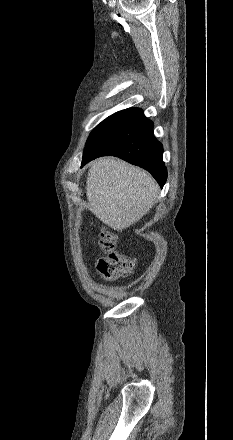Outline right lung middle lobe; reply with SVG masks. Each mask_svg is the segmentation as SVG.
<instances>
[{
	"label": "right lung middle lobe",
	"instance_id": "1",
	"mask_svg": "<svg viewBox=\"0 0 233 440\" xmlns=\"http://www.w3.org/2000/svg\"><path fill=\"white\" fill-rule=\"evenodd\" d=\"M115 114H116V113H115ZM113 115H114V114H113ZM113 115H112V116H113ZM112 116H110V117H108L107 119H105V120H104L103 122H101L97 127H99L101 124H103L106 120H108V119L111 118ZM97 127H96V128H97ZM96 128H95V129H96Z\"/></svg>",
	"mask_w": 233,
	"mask_h": 440
}]
</instances>
